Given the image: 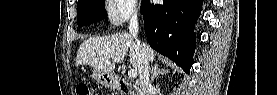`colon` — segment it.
Returning <instances> with one entry per match:
<instances>
[{
	"mask_svg": "<svg viewBox=\"0 0 277 95\" xmlns=\"http://www.w3.org/2000/svg\"><path fill=\"white\" fill-rule=\"evenodd\" d=\"M78 95H90L91 87L87 83H82L77 87Z\"/></svg>",
	"mask_w": 277,
	"mask_h": 95,
	"instance_id": "colon-1",
	"label": "colon"
}]
</instances>
